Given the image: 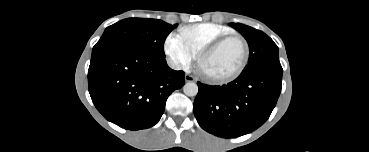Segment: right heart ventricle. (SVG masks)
Segmentation results:
<instances>
[{"mask_svg":"<svg viewBox=\"0 0 369 152\" xmlns=\"http://www.w3.org/2000/svg\"><path fill=\"white\" fill-rule=\"evenodd\" d=\"M233 33L230 27L213 22L195 23L180 30L183 39L197 54L214 40Z\"/></svg>","mask_w":369,"mask_h":152,"instance_id":"obj_1","label":"right heart ventricle"}]
</instances>
